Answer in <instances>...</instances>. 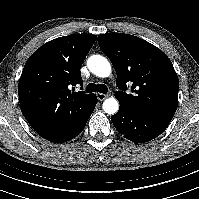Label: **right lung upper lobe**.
<instances>
[{
  "label": "right lung upper lobe",
  "instance_id": "right-lung-upper-lobe-1",
  "mask_svg": "<svg viewBox=\"0 0 199 199\" xmlns=\"http://www.w3.org/2000/svg\"><path fill=\"white\" fill-rule=\"evenodd\" d=\"M96 35L72 34L45 43L27 60L18 94L21 111L39 134L59 130L77 120L94 94L71 92L81 85L80 68Z\"/></svg>",
  "mask_w": 199,
  "mask_h": 199
}]
</instances>
